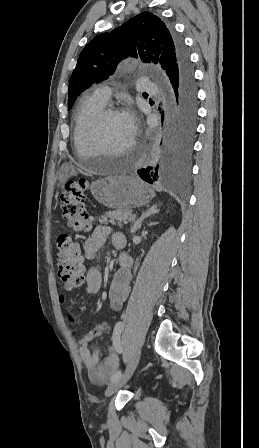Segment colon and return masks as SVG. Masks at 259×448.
<instances>
[{
  "label": "colon",
  "instance_id": "obj_1",
  "mask_svg": "<svg viewBox=\"0 0 259 448\" xmlns=\"http://www.w3.org/2000/svg\"><path fill=\"white\" fill-rule=\"evenodd\" d=\"M87 181L79 179L66 184L61 194V210L67 225L76 231L86 232L92 226L93 218L87 213L85 200ZM59 277L69 289H78L84 285V265L80 246L69 236L61 235L57 238ZM96 336L87 335V340Z\"/></svg>",
  "mask_w": 259,
  "mask_h": 448
}]
</instances>
